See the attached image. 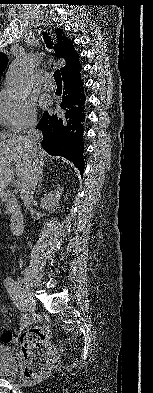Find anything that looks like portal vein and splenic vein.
I'll return each mask as SVG.
<instances>
[{"instance_id":"portal-vein-and-splenic-vein-1","label":"portal vein and splenic vein","mask_w":153,"mask_h":393,"mask_svg":"<svg viewBox=\"0 0 153 393\" xmlns=\"http://www.w3.org/2000/svg\"><path fill=\"white\" fill-rule=\"evenodd\" d=\"M15 186H16V187H20V186H21L20 181H17V182L15 183Z\"/></svg>"}]
</instances>
